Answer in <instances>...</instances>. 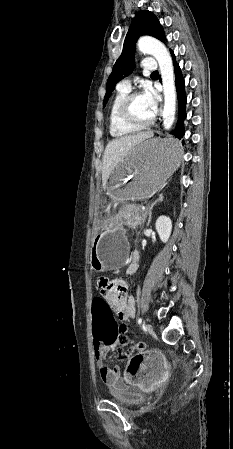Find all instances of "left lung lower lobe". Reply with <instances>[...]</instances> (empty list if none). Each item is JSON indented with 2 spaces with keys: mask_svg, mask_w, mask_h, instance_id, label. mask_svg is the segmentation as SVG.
Returning a JSON list of instances; mask_svg holds the SVG:
<instances>
[{
  "mask_svg": "<svg viewBox=\"0 0 233 449\" xmlns=\"http://www.w3.org/2000/svg\"><path fill=\"white\" fill-rule=\"evenodd\" d=\"M172 57H173V63H174V71H175V84H176V90H177V98H178V106H179V114H178V121L176 124L175 129L171 132L175 135L176 138L181 140L185 134L184 130V120L186 119V94H185V82L182 77L181 69L178 65V63L175 61V56L173 51H171ZM178 144L179 142L176 141ZM184 143V141H182Z\"/></svg>",
  "mask_w": 233,
  "mask_h": 449,
  "instance_id": "obj_1",
  "label": "left lung lower lobe"
}]
</instances>
